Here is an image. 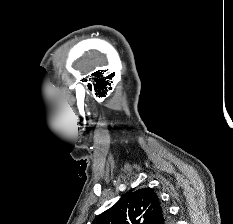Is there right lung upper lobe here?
Masks as SVG:
<instances>
[{
	"label": "right lung upper lobe",
	"mask_w": 233,
	"mask_h": 224,
	"mask_svg": "<svg viewBox=\"0 0 233 224\" xmlns=\"http://www.w3.org/2000/svg\"><path fill=\"white\" fill-rule=\"evenodd\" d=\"M167 211L153 190L144 188L125 195L92 224H169Z\"/></svg>",
	"instance_id": "right-lung-upper-lobe-1"
}]
</instances>
